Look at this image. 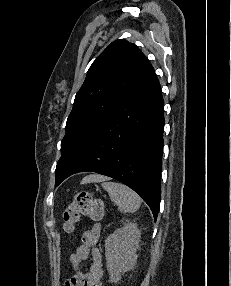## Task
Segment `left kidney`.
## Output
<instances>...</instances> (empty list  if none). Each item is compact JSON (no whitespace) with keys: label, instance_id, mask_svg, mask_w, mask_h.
Segmentation results:
<instances>
[{"label":"left kidney","instance_id":"1","mask_svg":"<svg viewBox=\"0 0 231 286\" xmlns=\"http://www.w3.org/2000/svg\"><path fill=\"white\" fill-rule=\"evenodd\" d=\"M141 232L136 223H127L115 230L105 241V256L110 281L117 283L121 275L134 268Z\"/></svg>","mask_w":231,"mask_h":286}]
</instances>
